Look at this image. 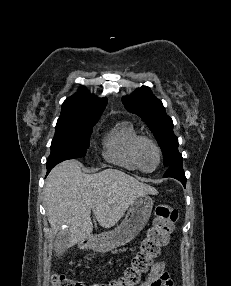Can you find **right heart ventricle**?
Segmentation results:
<instances>
[{"label":"right heart ventricle","mask_w":231,"mask_h":286,"mask_svg":"<svg viewBox=\"0 0 231 286\" xmlns=\"http://www.w3.org/2000/svg\"><path fill=\"white\" fill-rule=\"evenodd\" d=\"M139 136L131 122L117 123L103 138L104 159L127 170H139L133 157V146Z\"/></svg>","instance_id":"1"}]
</instances>
